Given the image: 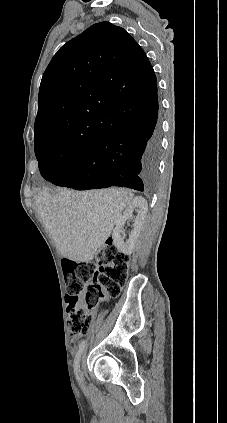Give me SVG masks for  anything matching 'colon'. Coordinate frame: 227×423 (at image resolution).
Instances as JSON below:
<instances>
[{"label":"colon","instance_id":"1","mask_svg":"<svg viewBox=\"0 0 227 423\" xmlns=\"http://www.w3.org/2000/svg\"><path fill=\"white\" fill-rule=\"evenodd\" d=\"M63 271L67 289V329L74 337L88 332L92 311L103 292L109 296L120 293L127 279L129 257L108 241L95 261L64 260Z\"/></svg>","mask_w":227,"mask_h":423}]
</instances>
